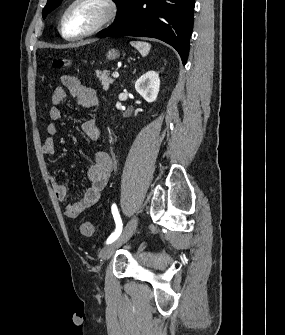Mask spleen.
Here are the masks:
<instances>
[{
    "label": "spleen",
    "instance_id": "3e777b00",
    "mask_svg": "<svg viewBox=\"0 0 285 335\" xmlns=\"http://www.w3.org/2000/svg\"><path fill=\"white\" fill-rule=\"evenodd\" d=\"M130 44L131 46H133V48H136V50L140 52L143 58H145V56H148L151 48L150 44H147V42H130Z\"/></svg>",
    "mask_w": 285,
    "mask_h": 335
}]
</instances>
